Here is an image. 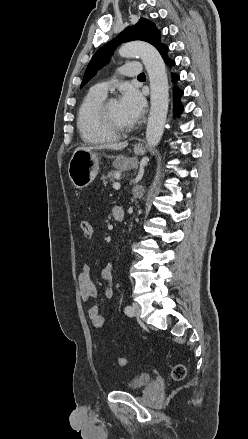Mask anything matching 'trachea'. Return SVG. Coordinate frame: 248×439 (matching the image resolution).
Segmentation results:
<instances>
[{
    "label": "trachea",
    "instance_id": "trachea-1",
    "mask_svg": "<svg viewBox=\"0 0 248 439\" xmlns=\"http://www.w3.org/2000/svg\"><path fill=\"white\" fill-rule=\"evenodd\" d=\"M138 77H145V74L141 73Z\"/></svg>",
    "mask_w": 248,
    "mask_h": 439
}]
</instances>
